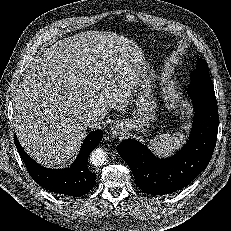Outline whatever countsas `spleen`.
Listing matches in <instances>:
<instances>
[{
    "instance_id": "obj_1",
    "label": "spleen",
    "mask_w": 231,
    "mask_h": 231,
    "mask_svg": "<svg viewBox=\"0 0 231 231\" xmlns=\"http://www.w3.org/2000/svg\"><path fill=\"white\" fill-rule=\"evenodd\" d=\"M183 129L188 128V124L184 123ZM185 141V135L181 132H175L172 135L169 133H163L157 135L150 141V148L156 155L169 156L175 148H178Z\"/></svg>"
}]
</instances>
